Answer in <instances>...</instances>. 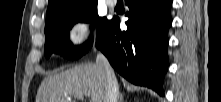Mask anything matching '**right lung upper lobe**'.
I'll list each match as a JSON object with an SVG mask.
<instances>
[{
	"label": "right lung upper lobe",
	"mask_w": 221,
	"mask_h": 102,
	"mask_svg": "<svg viewBox=\"0 0 221 102\" xmlns=\"http://www.w3.org/2000/svg\"><path fill=\"white\" fill-rule=\"evenodd\" d=\"M93 2H97V0H49L46 20L63 9L80 7Z\"/></svg>",
	"instance_id": "1"
}]
</instances>
